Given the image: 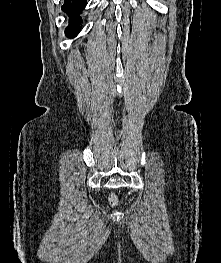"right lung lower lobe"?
Segmentation results:
<instances>
[{"instance_id": "98d812e1", "label": "right lung lower lobe", "mask_w": 221, "mask_h": 263, "mask_svg": "<svg viewBox=\"0 0 221 263\" xmlns=\"http://www.w3.org/2000/svg\"><path fill=\"white\" fill-rule=\"evenodd\" d=\"M87 4L86 0H65L62 10L69 15V26L65 33L68 37H74L78 34L81 24V17L79 14Z\"/></svg>"}]
</instances>
